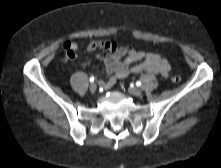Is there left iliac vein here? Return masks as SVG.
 <instances>
[{
    "label": "left iliac vein",
    "instance_id": "4c4485c4",
    "mask_svg": "<svg viewBox=\"0 0 221 168\" xmlns=\"http://www.w3.org/2000/svg\"><path fill=\"white\" fill-rule=\"evenodd\" d=\"M128 91L131 95H134V96H140L142 93L141 90L137 87H132Z\"/></svg>",
    "mask_w": 221,
    "mask_h": 168
}]
</instances>
